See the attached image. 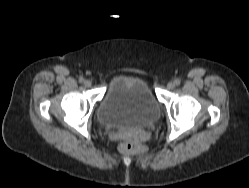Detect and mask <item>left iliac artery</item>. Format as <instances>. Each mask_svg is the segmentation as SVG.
<instances>
[{
    "instance_id": "obj_1",
    "label": "left iliac artery",
    "mask_w": 249,
    "mask_h": 188,
    "mask_svg": "<svg viewBox=\"0 0 249 188\" xmlns=\"http://www.w3.org/2000/svg\"><path fill=\"white\" fill-rule=\"evenodd\" d=\"M174 83H175V85H177V86H178V85H180V80H178V79H177V80H175V82H174Z\"/></svg>"
}]
</instances>
